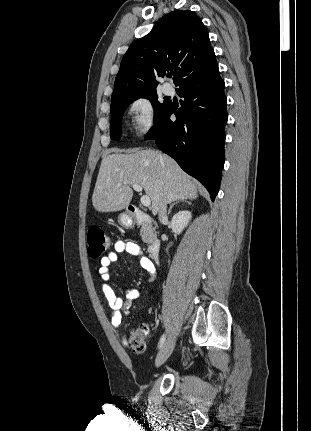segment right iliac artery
Returning <instances> with one entry per match:
<instances>
[{"mask_svg":"<svg viewBox=\"0 0 311 431\" xmlns=\"http://www.w3.org/2000/svg\"><path fill=\"white\" fill-rule=\"evenodd\" d=\"M165 339H166V335L165 334H163L162 336H161V338H160V341H159V345H158V348L160 349V348H162V346H163V344H164V342H165Z\"/></svg>","mask_w":311,"mask_h":431,"instance_id":"1","label":"right iliac artery"}]
</instances>
